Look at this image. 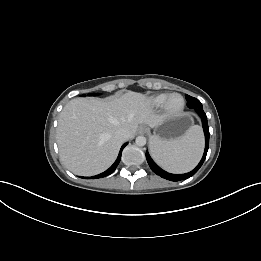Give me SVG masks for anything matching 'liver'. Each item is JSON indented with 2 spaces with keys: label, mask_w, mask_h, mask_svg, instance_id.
<instances>
[{
  "label": "liver",
  "mask_w": 261,
  "mask_h": 261,
  "mask_svg": "<svg viewBox=\"0 0 261 261\" xmlns=\"http://www.w3.org/2000/svg\"><path fill=\"white\" fill-rule=\"evenodd\" d=\"M164 118L154 114L145 95L137 92L73 99L58 120L60 159L76 175L99 174L112 165L122 143L134 137L139 124L156 127ZM119 129L127 132L125 140L115 137Z\"/></svg>",
  "instance_id": "liver-1"
}]
</instances>
